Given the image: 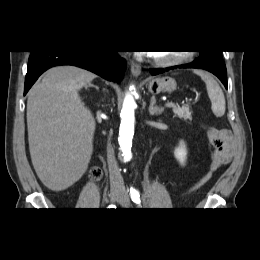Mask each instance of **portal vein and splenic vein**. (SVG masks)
Wrapping results in <instances>:
<instances>
[{
	"mask_svg": "<svg viewBox=\"0 0 260 260\" xmlns=\"http://www.w3.org/2000/svg\"><path fill=\"white\" fill-rule=\"evenodd\" d=\"M165 106H166V107H173V106H174V103H172V102H167V103L165 104Z\"/></svg>",
	"mask_w": 260,
	"mask_h": 260,
	"instance_id": "18ae733b",
	"label": "portal vein and splenic vein"
}]
</instances>
